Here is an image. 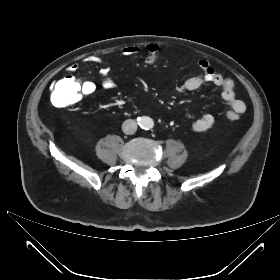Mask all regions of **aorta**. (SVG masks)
Returning <instances> with one entry per match:
<instances>
[{"label":"aorta","instance_id":"aorta-1","mask_svg":"<svg viewBox=\"0 0 280 280\" xmlns=\"http://www.w3.org/2000/svg\"><path fill=\"white\" fill-rule=\"evenodd\" d=\"M140 125L143 129H150L154 126V121L150 117H142L140 119Z\"/></svg>","mask_w":280,"mask_h":280}]
</instances>
